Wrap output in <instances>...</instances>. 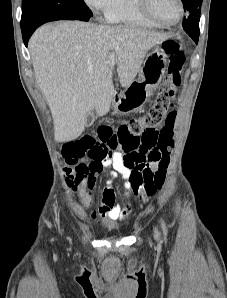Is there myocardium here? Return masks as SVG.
<instances>
[{
  "mask_svg": "<svg viewBox=\"0 0 227 298\" xmlns=\"http://www.w3.org/2000/svg\"><path fill=\"white\" fill-rule=\"evenodd\" d=\"M151 2H152L151 0H138V6L143 16L148 20H150L151 22L155 23L156 25L160 27H172L177 25L182 20L184 16V10H185L183 0H177L179 4V16L175 21L171 23L163 22L153 14Z\"/></svg>",
  "mask_w": 227,
  "mask_h": 298,
  "instance_id": "1",
  "label": "myocardium"
}]
</instances>
